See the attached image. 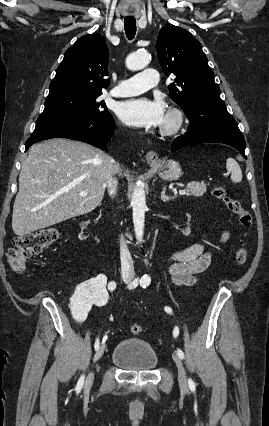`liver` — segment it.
Returning a JSON list of instances; mask_svg holds the SVG:
<instances>
[{
	"label": "liver",
	"instance_id": "obj_1",
	"mask_svg": "<svg viewBox=\"0 0 269 426\" xmlns=\"http://www.w3.org/2000/svg\"><path fill=\"white\" fill-rule=\"evenodd\" d=\"M113 168L105 152L81 141L54 138L34 144L22 164L12 229L18 236L93 211ZM87 191L86 196L80 192Z\"/></svg>",
	"mask_w": 269,
	"mask_h": 426
}]
</instances>
